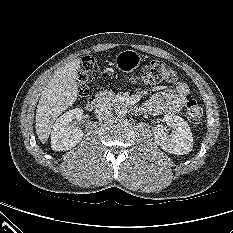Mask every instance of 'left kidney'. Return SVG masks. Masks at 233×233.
Instances as JSON below:
<instances>
[{"label": "left kidney", "mask_w": 233, "mask_h": 233, "mask_svg": "<svg viewBox=\"0 0 233 233\" xmlns=\"http://www.w3.org/2000/svg\"><path fill=\"white\" fill-rule=\"evenodd\" d=\"M163 120L173 131L168 134L163 125H157L154 129V137L158 145L171 154H188L193 147V137L188 123L173 114L164 115Z\"/></svg>", "instance_id": "1"}]
</instances>
